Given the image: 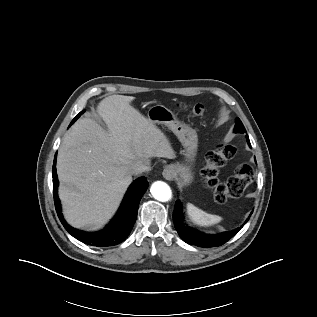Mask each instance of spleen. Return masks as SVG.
Listing matches in <instances>:
<instances>
[{
    "instance_id": "spleen-1",
    "label": "spleen",
    "mask_w": 317,
    "mask_h": 317,
    "mask_svg": "<svg viewBox=\"0 0 317 317\" xmlns=\"http://www.w3.org/2000/svg\"><path fill=\"white\" fill-rule=\"evenodd\" d=\"M187 214L194 224L202 227H208L217 224L222 220V217L209 214L191 203L187 204Z\"/></svg>"
}]
</instances>
